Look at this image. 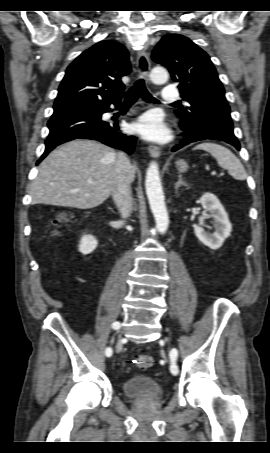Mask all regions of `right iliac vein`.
Instances as JSON below:
<instances>
[{"label": "right iliac vein", "instance_id": "right-iliac-vein-1", "mask_svg": "<svg viewBox=\"0 0 270 453\" xmlns=\"http://www.w3.org/2000/svg\"><path fill=\"white\" fill-rule=\"evenodd\" d=\"M122 348V343L121 341L118 342L117 346H116V349L117 350H120Z\"/></svg>", "mask_w": 270, "mask_h": 453}]
</instances>
